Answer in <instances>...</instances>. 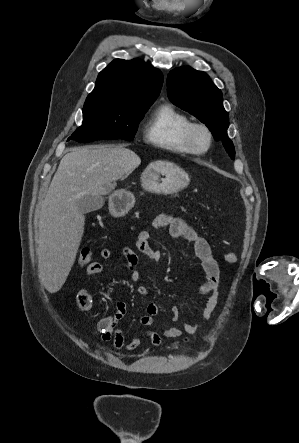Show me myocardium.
Here are the masks:
<instances>
[{
	"label": "myocardium",
	"mask_w": 299,
	"mask_h": 443,
	"mask_svg": "<svg viewBox=\"0 0 299 443\" xmlns=\"http://www.w3.org/2000/svg\"><path fill=\"white\" fill-rule=\"evenodd\" d=\"M198 133H203L206 136L207 144L205 147L198 146ZM184 143L190 153L195 155H203L210 150L213 143V135L210 128L206 124L192 122L185 130Z\"/></svg>",
	"instance_id": "f54148a6"
}]
</instances>
